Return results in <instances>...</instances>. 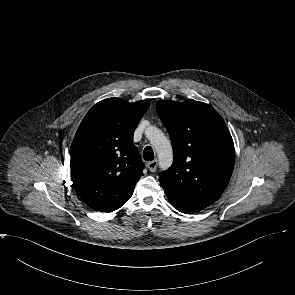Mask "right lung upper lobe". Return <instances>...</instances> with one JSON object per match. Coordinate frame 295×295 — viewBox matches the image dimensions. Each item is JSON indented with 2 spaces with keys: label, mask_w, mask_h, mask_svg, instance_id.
<instances>
[{
  "label": "right lung upper lobe",
  "mask_w": 295,
  "mask_h": 295,
  "mask_svg": "<svg viewBox=\"0 0 295 295\" xmlns=\"http://www.w3.org/2000/svg\"><path fill=\"white\" fill-rule=\"evenodd\" d=\"M148 108L147 100L108 98L82 120L70 148L71 177L90 208L112 212L132 196L144 168L133 134Z\"/></svg>",
  "instance_id": "cb5924a9"
}]
</instances>
